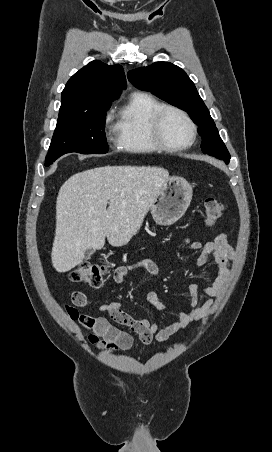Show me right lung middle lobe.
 I'll list each match as a JSON object with an SVG mask.
<instances>
[{"label":"right lung middle lobe","instance_id":"obj_1","mask_svg":"<svg viewBox=\"0 0 272 452\" xmlns=\"http://www.w3.org/2000/svg\"><path fill=\"white\" fill-rule=\"evenodd\" d=\"M109 107L81 115L58 118L45 166H49L60 156L70 152L107 153L108 144L104 129L106 111Z\"/></svg>","mask_w":272,"mask_h":452}]
</instances>
